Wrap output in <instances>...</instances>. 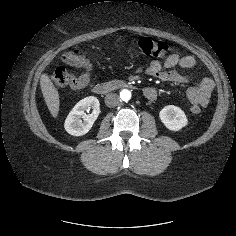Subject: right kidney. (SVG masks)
<instances>
[{
	"label": "right kidney",
	"instance_id": "ca27d5eb",
	"mask_svg": "<svg viewBox=\"0 0 236 236\" xmlns=\"http://www.w3.org/2000/svg\"><path fill=\"white\" fill-rule=\"evenodd\" d=\"M93 112L89 115L85 113L90 109ZM100 113L99 100L94 96L86 97L80 100L67 116L64 128L73 136L85 135L92 127L94 121Z\"/></svg>",
	"mask_w": 236,
	"mask_h": 236
}]
</instances>
